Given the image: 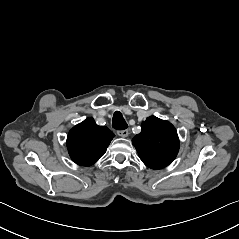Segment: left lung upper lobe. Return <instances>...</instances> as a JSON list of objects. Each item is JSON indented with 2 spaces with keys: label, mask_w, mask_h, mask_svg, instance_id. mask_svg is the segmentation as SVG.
<instances>
[{
  "label": "left lung upper lobe",
  "mask_w": 239,
  "mask_h": 239,
  "mask_svg": "<svg viewBox=\"0 0 239 239\" xmlns=\"http://www.w3.org/2000/svg\"><path fill=\"white\" fill-rule=\"evenodd\" d=\"M141 127V133L132 139V143L142 162L151 169L168 166L179 151V138L175 127L155 116L148 117Z\"/></svg>",
  "instance_id": "1"
}]
</instances>
